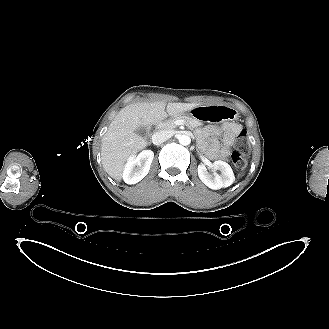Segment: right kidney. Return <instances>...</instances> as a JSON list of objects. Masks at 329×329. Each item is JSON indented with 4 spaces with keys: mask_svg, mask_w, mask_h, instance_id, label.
I'll return each instance as SVG.
<instances>
[{
    "mask_svg": "<svg viewBox=\"0 0 329 329\" xmlns=\"http://www.w3.org/2000/svg\"><path fill=\"white\" fill-rule=\"evenodd\" d=\"M154 153L151 150H143L137 156L132 154L124 166L122 178L127 184H136L149 172Z\"/></svg>",
    "mask_w": 329,
    "mask_h": 329,
    "instance_id": "obj_1",
    "label": "right kidney"
}]
</instances>
